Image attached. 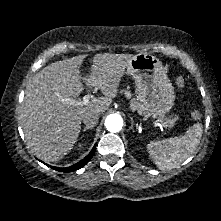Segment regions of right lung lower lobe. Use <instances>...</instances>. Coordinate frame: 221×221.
<instances>
[{"label":"right lung lower lobe","instance_id":"right-lung-lower-lobe-1","mask_svg":"<svg viewBox=\"0 0 221 221\" xmlns=\"http://www.w3.org/2000/svg\"><path fill=\"white\" fill-rule=\"evenodd\" d=\"M95 150H96V145L93 147L91 152L84 159H82L80 162L76 163L73 166L66 167V168H59V167H54V166H50V165H48V166L51 167L54 170L59 171V172H73V171H76V170L82 168L83 166H85L91 160V158L93 157V155L95 153Z\"/></svg>","mask_w":221,"mask_h":221}]
</instances>
